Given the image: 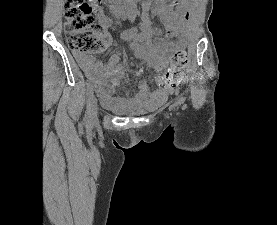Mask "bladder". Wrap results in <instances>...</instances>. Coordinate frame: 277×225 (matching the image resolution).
I'll use <instances>...</instances> for the list:
<instances>
[{
	"label": "bladder",
	"instance_id": "1",
	"mask_svg": "<svg viewBox=\"0 0 277 225\" xmlns=\"http://www.w3.org/2000/svg\"><path fill=\"white\" fill-rule=\"evenodd\" d=\"M151 105L149 103L140 104L136 102L117 103L108 106L107 108L120 115H139L147 112Z\"/></svg>",
	"mask_w": 277,
	"mask_h": 225
}]
</instances>
